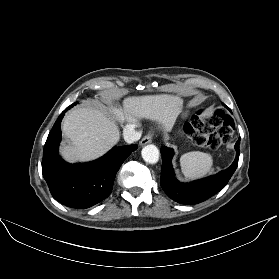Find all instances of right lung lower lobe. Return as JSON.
I'll list each match as a JSON object with an SVG mask.
<instances>
[{
    "mask_svg": "<svg viewBox=\"0 0 279 279\" xmlns=\"http://www.w3.org/2000/svg\"><path fill=\"white\" fill-rule=\"evenodd\" d=\"M62 112L50 131L44 146L42 173L52 196L65 206L86 209L107 198L117 171L137 145L119 146L103 157L89 162L68 164L58 155L61 141Z\"/></svg>",
    "mask_w": 279,
    "mask_h": 279,
    "instance_id": "98d812e1",
    "label": "right lung lower lobe"
}]
</instances>
